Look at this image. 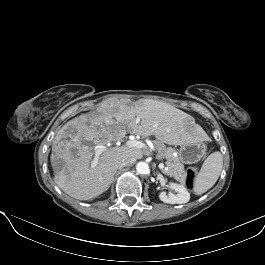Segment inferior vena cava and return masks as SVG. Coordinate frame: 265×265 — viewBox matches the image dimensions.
<instances>
[{
    "label": "inferior vena cava",
    "instance_id": "602c4592",
    "mask_svg": "<svg viewBox=\"0 0 265 265\" xmlns=\"http://www.w3.org/2000/svg\"><path fill=\"white\" fill-rule=\"evenodd\" d=\"M135 160L136 159L134 157H125V158H123L121 161L118 162L117 169H120V168L125 167V166H129L132 163H134Z\"/></svg>",
    "mask_w": 265,
    "mask_h": 265
}]
</instances>
